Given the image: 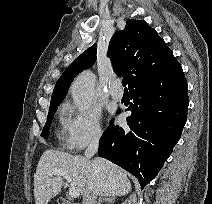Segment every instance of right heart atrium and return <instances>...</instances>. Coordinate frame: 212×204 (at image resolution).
I'll list each match as a JSON object with an SVG mask.
<instances>
[{
	"instance_id": "d8ad5b80",
	"label": "right heart atrium",
	"mask_w": 212,
	"mask_h": 204,
	"mask_svg": "<svg viewBox=\"0 0 212 204\" xmlns=\"http://www.w3.org/2000/svg\"><path fill=\"white\" fill-rule=\"evenodd\" d=\"M65 146L74 152L97 143L102 136L101 116L96 109H75L65 107L63 119Z\"/></svg>"
}]
</instances>
